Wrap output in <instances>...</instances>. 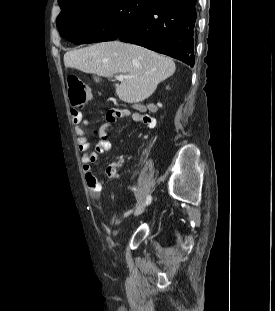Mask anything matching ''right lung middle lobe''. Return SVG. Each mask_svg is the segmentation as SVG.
Here are the masks:
<instances>
[{
  "label": "right lung middle lobe",
  "mask_w": 275,
  "mask_h": 311,
  "mask_svg": "<svg viewBox=\"0 0 275 311\" xmlns=\"http://www.w3.org/2000/svg\"><path fill=\"white\" fill-rule=\"evenodd\" d=\"M159 0H71L60 5L56 24L74 44L115 40L136 17Z\"/></svg>",
  "instance_id": "right-lung-middle-lobe-1"
}]
</instances>
